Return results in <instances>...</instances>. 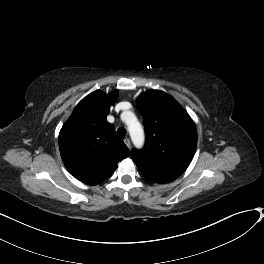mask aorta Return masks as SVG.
Instances as JSON below:
<instances>
[{
    "mask_svg": "<svg viewBox=\"0 0 264 264\" xmlns=\"http://www.w3.org/2000/svg\"><path fill=\"white\" fill-rule=\"evenodd\" d=\"M127 124L133 144L137 147L142 146L144 143V131L135 115L131 112L128 114Z\"/></svg>",
    "mask_w": 264,
    "mask_h": 264,
    "instance_id": "aorta-1",
    "label": "aorta"
}]
</instances>
